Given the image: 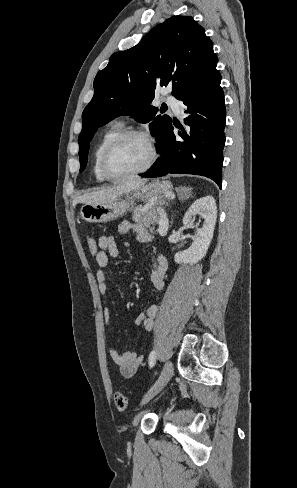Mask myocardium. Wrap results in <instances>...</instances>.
I'll return each instance as SVG.
<instances>
[{
	"label": "myocardium",
	"mask_w": 297,
	"mask_h": 488,
	"mask_svg": "<svg viewBox=\"0 0 297 488\" xmlns=\"http://www.w3.org/2000/svg\"><path fill=\"white\" fill-rule=\"evenodd\" d=\"M133 137H140V138L145 139L148 142L149 148H150L149 159L147 160V162L142 167H140L139 169H136L132 172H129L126 174H120V175H116V174L111 173L109 168H108L109 156L114 151V149L117 146H119L122 142H124L125 140H127L129 138H133ZM157 158H158L157 145H156L154 139L148 133H146L145 131H142V130H126V131H123L122 133H120L118 136H116L113 140H111L107 144V146L105 147V149L102 153V156H101L100 167H101V171H102L103 175L106 177V179L114 180V181L115 180H123V179H127V178L137 176L139 174H142V173L148 171L154 165Z\"/></svg>",
	"instance_id": "1"
}]
</instances>
